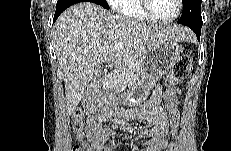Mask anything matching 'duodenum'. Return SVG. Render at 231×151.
<instances>
[{"mask_svg": "<svg viewBox=\"0 0 231 151\" xmlns=\"http://www.w3.org/2000/svg\"><path fill=\"white\" fill-rule=\"evenodd\" d=\"M99 88V83H93L90 87L91 92L96 93Z\"/></svg>", "mask_w": 231, "mask_h": 151, "instance_id": "obj_1", "label": "duodenum"}]
</instances>
